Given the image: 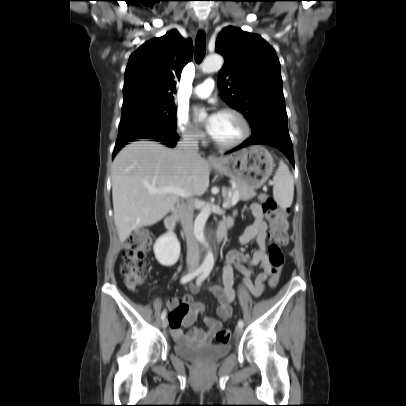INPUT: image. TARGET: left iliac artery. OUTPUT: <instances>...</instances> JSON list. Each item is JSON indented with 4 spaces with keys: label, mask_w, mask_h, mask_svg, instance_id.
<instances>
[{
    "label": "left iliac artery",
    "mask_w": 406,
    "mask_h": 406,
    "mask_svg": "<svg viewBox=\"0 0 406 406\" xmlns=\"http://www.w3.org/2000/svg\"><path fill=\"white\" fill-rule=\"evenodd\" d=\"M210 272H211V269H210V268H206V269L204 270V272L202 273V275L198 278V280H197V285L201 284V282H202L203 280H205V279L208 277V275L210 274ZM243 325H244V322H243L242 320H239V321H238V326L243 327Z\"/></svg>",
    "instance_id": "left-iliac-artery-1"
}]
</instances>
